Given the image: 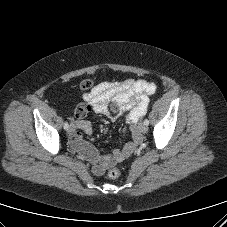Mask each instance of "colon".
<instances>
[{
    "label": "colon",
    "mask_w": 227,
    "mask_h": 227,
    "mask_svg": "<svg viewBox=\"0 0 227 227\" xmlns=\"http://www.w3.org/2000/svg\"><path fill=\"white\" fill-rule=\"evenodd\" d=\"M92 86H93V83L91 80H84L80 84V88L82 90H89L90 88H92ZM108 176L111 179H117L120 176V170L118 168H112L111 170H109Z\"/></svg>",
    "instance_id": "obj_1"
}]
</instances>
